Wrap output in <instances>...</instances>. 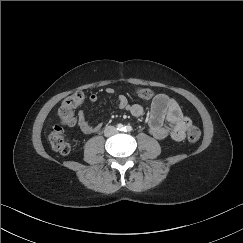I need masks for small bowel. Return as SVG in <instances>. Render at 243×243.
I'll return each mask as SVG.
<instances>
[{"label":"small bowel","mask_w":243,"mask_h":243,"mask_svg":"<svg viewBox=\"0 0 243 243\" xmlns=\"http://www.w3.org/2000/svg\"><path fill=\"white\" fill-rule=\"evenodd\" d=\"M113 88H106L105 94L112 95ZM138 96L151 102V110L148 119L149 133L156 139H164L170 136L176 141L185 137V132L191 125V119L184 116L179 104L167 94H153L148 89H140ZM89 101L96 103L99 101V95L90 94ZM118 108L129 112L134 117H140L144 113V107L140 103H128L124 96H120L117 101ZM165 120L167 125H164ZM78 126L85 133H92L100 128L101 123L92 124L84 109L78 113Z\"/></svg>","instance_id":"small-bowel-1"}]
</instances>
